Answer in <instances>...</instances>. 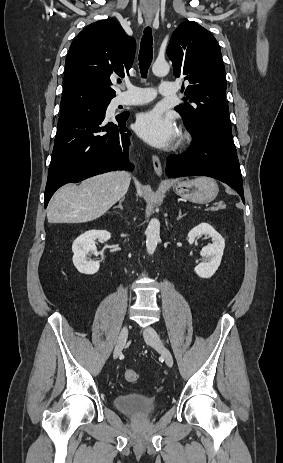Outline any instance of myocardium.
Returning a JSON list of instances; mask_svg holds the SVG:
<instances>
[{
	"label": "myocardium",
	"instance_id": "myocardium-1",
	"mask_svg": "<svg viewBox=\"0 0 283 463\" xmlns=\"http://www.w3.org/2000/svg\"><path fill=\"white\" fill-rule=\"evenodd\" d=\"M188 139H189V135L186 132L181 131L180 134H179V142L183 143V142L187 141Z\"/></svg>",
	"mask_w": 283,
	"mask_h": 463
}]
</instances>
